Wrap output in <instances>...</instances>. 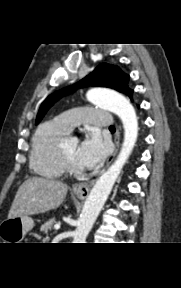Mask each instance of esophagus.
<instances>
[{"instance_id": "obj_1", "label": "esophagus", "mask_w": 181, "mask_h": 288, "mask_svg": "<svg viewBox=\"0 0 181 288\" xmlns=\"http://www.w3.org/2000/svg\"><path fill=\"white\" fill-rule=\"evenodd\" d=\"M114 144H115L114 151L111 154V156L108 158L105 168H107L110 165V163L113 161L114 157L117 154L119 144H120V131H119V129L116 130L115 137H114ZM94 182H95V179L90 181V182L76 183L73 185L72 191L75 194H77L78 196L85 198L88 196L89 191H90L92 185L94 184Z\"/></svg>"}]
</instances>
